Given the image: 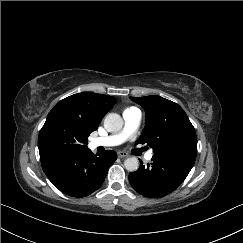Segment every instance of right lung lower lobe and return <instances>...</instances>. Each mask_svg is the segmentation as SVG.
Returning a JSON list of instances; mask_svg holds the SVG:
<instances>
[{"label": "right lung lower lobe", "instance_id": "right-lung-lower-lobe-1", "mask_svg": "<svg viewBox=\"0 0 243 243\" xmlns=\"http://www.w3.org/2000/svg\"><path fill=\"white\" fill-rule=\"evenodd\" d=\"M97 155L86 148L78 153L41 160V164L57 189L72 197H85L102 185L108 169L117 159L112 150Z\"/></svg>", "mask_w": 243, "mask_h": 243}]
</instances>
